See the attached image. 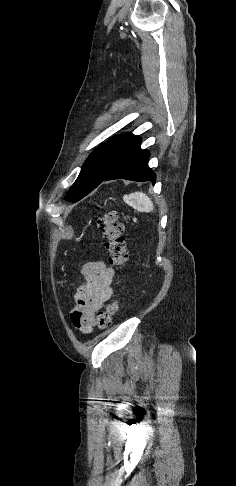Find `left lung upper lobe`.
<instances>
[{"label": "left lung upper lobe", "instance_id": "1", "mask_svg": "<svg viewBox=\"0 0 236 486\" xmlns=\"http://www.w3.org/2000/svg\"><path fill=\"white\" fill-rule=\"evenodd\" d=\"M138 138L131 133L117 135L95 149L82 166L65 200L76 202L94 190Z\"/></svg>", "mask_w": 236, "mask_h": 486}]
</instances>
